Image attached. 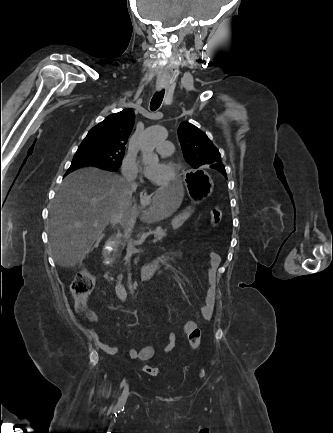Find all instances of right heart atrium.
<instances>
[{
	"label": "right heart atrium",
	"instance_id": "obj_1",
	"mask_svg": "<svg viewBox=\"0 0 333 433\" xmlns=\"http://www.w3.org/2000/svg\"><path fill=\"white\" fill-rule=\"evenodd\" d=\"M123 175L128 179H135L139 176V166L134 157L127 155L122 162Z\"/></svg>",
	"mask_w": 333,
	"mask_h": 433
}]
</instances>
